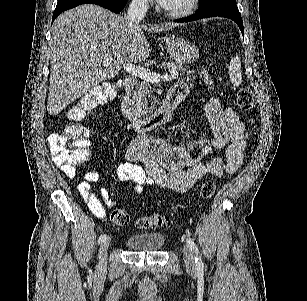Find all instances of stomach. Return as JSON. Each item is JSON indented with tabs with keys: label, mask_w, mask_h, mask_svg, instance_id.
Here are the masks:
<instances>
[{
	"label": "stomach",
	"mask_w": 307,
	"mask_h": 301,
	"mask_svg": "<svg viewBox=\"0 0 307 301\" xmlns=\"http://www.w3.org/2000/svg\"><path fill=\"white\" fill-rule=\"evenodd\" d=\"M165 46L168 54L176 64H190L199 58V48L193 42L185 40L182 36H167Z\"/></svg>",
	"instance_id": "0dacf381"
}]
</instances>
